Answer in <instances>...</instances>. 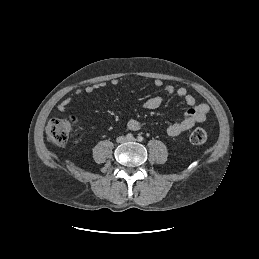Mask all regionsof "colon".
Masks as SVG:
<instances>
[{"label":"colon","instance_id":"obj_1","mask_svg":"<svg viewBox=\"0 0 259 259\" xmlns=\"http://www.w3.org/2000/svg\"><path fill=\"white\" fill-rule=\"evenodd\" d=\"M76 118L70 116L63 119H51L46 126V137L49 142L63 145L67 142L72 126ZM207 140V132L203 128H196L190 134V141L193 144H203Z\"/></svg>","mask_w":259,"mask_h":259}]
</instances>
